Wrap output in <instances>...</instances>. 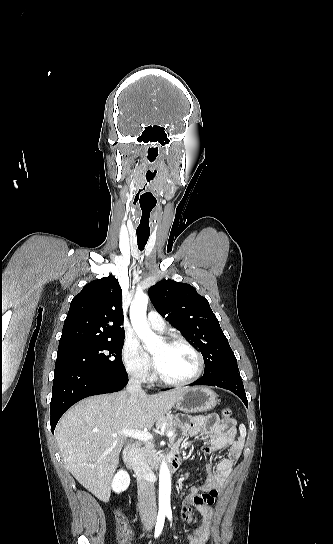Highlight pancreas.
Masks as SVG:
<instances>
[{
  "mask_svg": "<svg viewBox=\"0 0 333 544\" xmlns=\"http://www.w3.org/2000/svg\"><path fill=\"white\" fill-rule=\"evenodd\" d=\"M163 423L166 425L167 431L169 430L174 431L176 426L179 425V423L174 419L173 415H167L161 418L157 423V427H160ZM173 440H174V437L171 438V441ZM144 452L147 459L151 460L155 455L154 445L152 443L146 442L144 446Z\"/></svg>",
  "mask_w": 333,
  "mask_h": 544,
  "instance_id": "pancreas-1",
  "label": "pancreas"
}]
</instances>
